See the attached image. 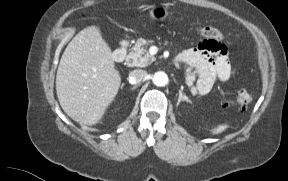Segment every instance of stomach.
Returning a JSON list of instances; mask_svg holds the SVG:
<instances>
[{"mask_svg":"<svg viewBox=\"0 0 288 181\" xmlns=\"http://www.w3.org/2000/svg\"><path fill=\"white\" fill-rule=\"evenodd\" d=\"M168 14V8L164 4H154L148 11L149 18L152 21H164L168 17Z\"/></svg>","mask_w":288,"mask_h":181,"instance_id":"1","label":"stomach"}]
</instances>
